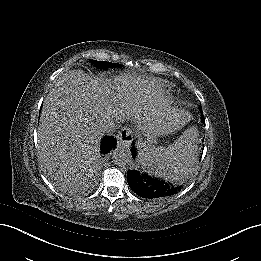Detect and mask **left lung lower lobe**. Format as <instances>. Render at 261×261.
<instances>
[{"instance_id":"0a47b994","label":"left lung lower lobe","mask_w":261,"mask_h":261,"mask_svg":"<svg viewBox=\"0 0 261 261\" xmlns=\"http://www.w3.org/2000/svg\"><path fill=\"white\" fill-rule=\"evenodd\" d=\"M135 148L132 147V157L135 156ZM190 172V169L184 174V178ZM127 181L130 188L140 197L146 199L159 200L163 198H168L176 194L181 186L176 184H171L169 182L158 180L148 176L146 174L140 173L137 170H128ZM181 182V181H180Z\"/></svg>"}]
</instances>
